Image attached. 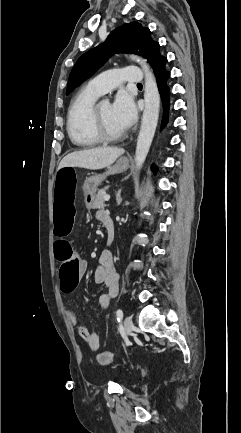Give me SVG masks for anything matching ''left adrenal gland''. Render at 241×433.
<instances>
[{
    "mask_svg": "<svg viewBox=\"0 0 241 433\" xmlns=\"http://www.w3.org/2000/svg\"><path fill=\"white\" fill-rule=\"evenodd\" d=\"M120 194H121V190H119L117 195H116L117 205H120L122 202V198H121Z\"/></svg>",
    "mask_w": 241,
    "mask_h": 433,
    "instance_id": "obj_1",
    "label": "left adrenal gland"
}]
</instances>
